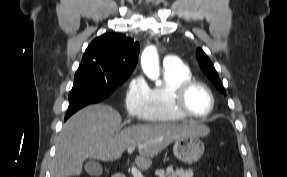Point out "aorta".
I'll use <instances>...</instances> for the list:
<instances>
[{"label":"aorta","instance_id":"obj_1","mask_svg":"<svg viewBox=\"0 0 287 177\" xmlns=\"http://www.w3.org/2000/svg\"><path fill=\"white\" fill-rule=\"evenodd\" d=\"M141 66L144 73L152 80L156 81V85H161L159 77V60L157 50L154 46L147 47L141 56Z\"/></svg>","mask_w":287,"mask_h":177}]
</instances>
